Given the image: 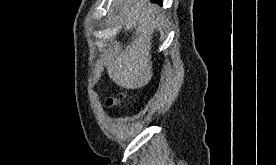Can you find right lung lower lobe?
<instances>
[{"label":"right lung lower lobe","mask_w":276,"mask_h":165,"mask_svg":"<svg viewBox=\"0 0 276 165\" xmlns=\"http://www.w3.org/2000/svg\"><path fill=\"white\" fill-rule=\"evenodd\" d=\"M151 1H153V2H161L160 0H151Z\"/></svg>","instance_id":"obj_1"}]
</instances>
